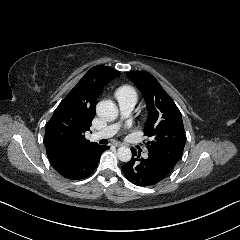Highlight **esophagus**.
I'll return each mask as SVG.
<instances>
[{"mask_svg":"<svg viewBox=\"0 0 240 240\" xmlns=\"http://www.w3.org/2000/svg\"><path fill=\"white\" fill-rule=\"evenodd\" d=\"M116 146H126V144L122 143V142H118V143H116Z\"/></svg>","mask_w":240,"mask_h":240,"instance_id":"esophagus-1","label":"esophagus"}]
</instances>
